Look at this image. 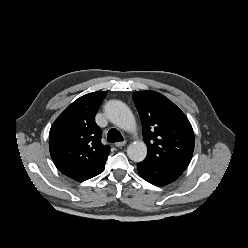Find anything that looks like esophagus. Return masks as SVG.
I'll list each match as a JSON object with an SVG mask.
<instances>
[{"mask_svg":"<svg viewBox=\"0 0 248 248\" xmlns=\"http://www.w3.org/2000/svg\"><path fill=\"white\" fill-rule=\"evenodd\" d=\"M125 144H126V141H122V142H117V143H115V146L118 147V148H121V147H123Z\"/></svg>","mask_w":248,"mask_h":248,"instance_id":"1","label":"esophagus"}]
</instances>
